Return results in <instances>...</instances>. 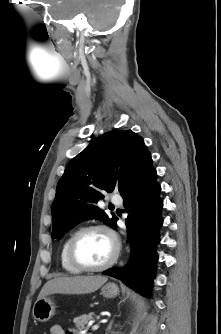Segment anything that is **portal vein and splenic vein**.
Masks as SVG:
<instances>
[{
	"mask_svg": "<svg viewBox=\"0 0 221 334\" xmlns=\"http://www.w3.org/2000/svg\"><path fill=\"white\" fill-rule=\"evenodd\" d=\"M98 328H99V325H98V324H95V325L92 326V330H93V331L97 330Z\"/></svg>",
	"mask_w": 221,
	"mask_h": 334,
	"instance_id": "obj_1",
	"label": "portal vein and splenic vein"
}]
</instances>
